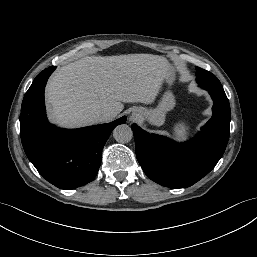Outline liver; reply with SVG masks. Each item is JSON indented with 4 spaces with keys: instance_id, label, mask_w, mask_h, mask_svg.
Returning <instances> with one entry per match:
<instances>
[{
    "instance_id": "6515ba94",
    "label": "liver",
    "mask_w": 257,
    "mask_h": 257,
    "mask_svg": "<svg viewBox=\"0 0 257 257\" xmlns=\"http://www.w3.org/2000/svg\"><path fill=\"white\" fill-rule=\"evenodd\" d=\"M168 71L167 60L158 55L86 56L49 79L50 119L60 126L82 127L98 123L100 111L119 114L122 102L151 104Z\"/></svg>"
}]
</instances>
